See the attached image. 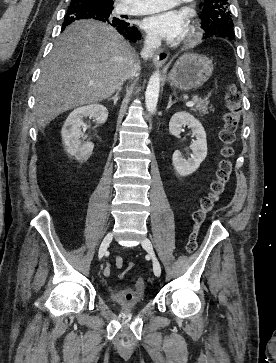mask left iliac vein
Returning a JSON list of instances; mask_svg holds the SVG:
<instances>
[{
	"label": "left iliac vein",
	"mask_w": 276,
	"mask_h": 363,
	"mask_svg": "<svg viewBox=\"0 0 276 363\" xmlns=\"http://www.w3.org/2000/svg\"><path fill=\"white\" fill-rule=\"evenodd\" d=\"M142 246L143 248L150 254V256L152 257V261H153V270L156 276H160L161 274V266L160 263L154 253L153 250V245L151 243V241L148 238H145L142 241Z\"/></svg>",
	"instance_id": "4c4485c4"
}]
</instances>
